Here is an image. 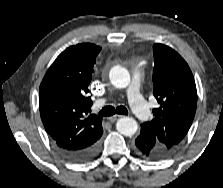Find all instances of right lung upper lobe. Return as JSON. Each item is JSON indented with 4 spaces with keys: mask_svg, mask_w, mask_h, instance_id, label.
Listing matches in <instances>:
<instances>
[{
    "mask_svg": "<svg viewBox=\"0 0 223 188\" xmlns=\"http://www.w3.org/2000/svg\"><path fill=\"white\" fill-rule=\"evenodd\" d=\"M100 50L91 43L70 46L53 62L40 84V116L58 147L81 149L103 133L102 118L86 116L92 105L88 86Z\"/></svg>",
    "mask_w": 223,
    "mask_h": 188,
    "instance_id": "1",
    "label": "right lung upper lobe"
}]
</instances>
